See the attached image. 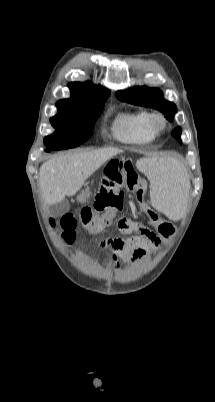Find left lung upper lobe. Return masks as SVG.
<instances>
[{
    "mask_svg": "<svg viewBox=\"0 0 215 402\" xmlns=\"http://www.w3.org/2000/svg\"><path fill=\"white\" fill-rule=\"evenodd\" d=\"M116 97L131 104L157 109L164 113L169 120H172L177 112L175 104L165 100L162 92L155 88L136 87L126 91H118ZM172 134L181 143L180 128L174 129Z\"/></svg>",
    "mask_w": 215,
    "mask_h": 402,
    "instance_id": "1",
    "label": "left lung upper lobe"
}]
</instances>
